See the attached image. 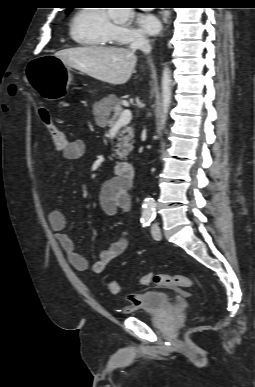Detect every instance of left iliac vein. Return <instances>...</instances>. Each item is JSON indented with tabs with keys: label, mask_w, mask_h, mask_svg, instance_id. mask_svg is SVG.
<instances>
[{
	"label": "left iliac vein",
	"mask_w": 255,
	"mask_h": 387,
	"mask_svg": "<svg viewBox=\"0 0 255 387\" xmlns=\"http://www.w3.org/2000/svg\"><path fill=\"white\" fill-rule=\"evenodd\" d=\"M151 234H152V237L155 239V240H160L161 239V231H160V228L157 224H153L152 227H151Z\"/></svg>",
	"instance_id": "4c4485c4"
}]
</instances>
